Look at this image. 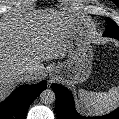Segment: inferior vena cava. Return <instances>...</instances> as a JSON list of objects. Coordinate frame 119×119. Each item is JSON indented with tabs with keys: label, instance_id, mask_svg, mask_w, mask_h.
Wrapping results in <instances>:
<instances>
[{
	"label": "inferior vena cava",
	"instance_id": "inferior-vena-cava-1",
	"mask_svg": "<svg viewBox=\"0 0 119 119\" xmlns=\"http://www.w3.org/2000/svg\"><path fill=\"white\" fill-rule=\"evenodd\" d=\"M35 70L33 68H27L22 70L21 76L23 81H27L29 78H31L34 74Z\"/></svg>",
	"mask_w": 119,
	"mask_h": 119
}]
</instances>
